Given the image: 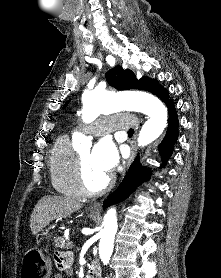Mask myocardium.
<instances>
[{"label": "myocardium", "mask_w": 221, "mask_h": 278, "mask_svg": "<svg viewBox=\"0 0 221 278\" xmlns=\"http://www.w3.org/2000/svg\"><path fill=\"white\" fill-rule=\"evenodd\" d=\"M74 174H75L76 185L80 190V192L82 193V195L84 196H90V197L99 196L105 193L112 186L114 181L113 176L108 175L104 184L101 185L99 188L97 189L90 188L85 178L84 166L80 154H76L75 157Z\"/></svg>", "instance_id": "f54148a6"}]
</instances>
